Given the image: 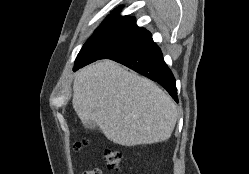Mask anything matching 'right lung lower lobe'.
Instances as JSON below:
<instances>
[{
	"label": "right lung lower lobe",
	"instance_id": "98d812e1",
	"mask_svg": "<svg viewBox=\"0 0 249 174\" xmlns=\"http://www.w3.org/2000/svg\"><path fill=\"white\" fill-rule=\"evenodd\" d=\"M109 59L158 82L178 102L175 78L164 62L160 48L153 42L151 36L144 44Z\"/></svg>",
	"mask_w": 249,
	"mask_h": 174
}]
</instances>
